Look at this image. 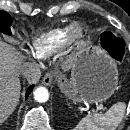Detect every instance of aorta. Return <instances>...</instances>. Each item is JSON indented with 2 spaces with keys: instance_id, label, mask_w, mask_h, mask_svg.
Here are the masks:
<instances>
[{
  "instance_id": "aorta-1",
  "label": "aorta",
  "mask_w": 130,
  "mask_h": 130,
  "mask_svg": "<svg viewBox=\"0 0 130 130\" xmlns=\"http://www.w3.org/2000/svg\"><path fill=\"white\" fill-rule=\"evenodd\" d=\"M33 94L35 100L40 103H44L49 99V92L45 87H38Z\"/></svg>"
}]
</instances>
